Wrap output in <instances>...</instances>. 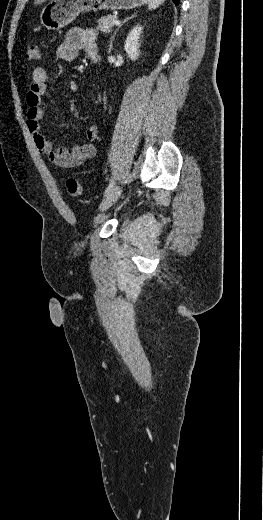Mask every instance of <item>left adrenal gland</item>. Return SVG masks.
Here are the masks:
<instances>
[{
  "label": "left adrenal gland",
  "mask_w": 263,
  "mask_h": 520,
  "mask_svg": "<svg viewBox=\"0 0 263 520\" xmlns=\"http://www.w3.org/2000/svg\"><path fill=\"white\" fill-rule=\"evenodd\" d=\"M134 17H136V13H134L131 17H127L119 26L118 28L114 31L113 35L111 36V40H110V44H109V52L111 51L112 49V44H113V40H114V37L116 35V33L118 32V30L122 27V25L124 23H126L128 20L130 19H133Z\"/></svg>",
  "instance_id": "1"
}]
</instances>
